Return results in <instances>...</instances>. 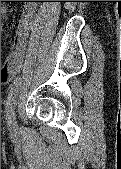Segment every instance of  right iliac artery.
Wrapping results in <instances>:
<instances>
[{
    "mask_svg": "<svg viewBox=\"0 0 121 169\" xmlns=\"http://www.w3.org/2000/svg\"><path fill=\"white\" fill-rule=\"evenodd\" d=\"M22 80L20 77H17L13 84L11 85L10 91H9V95H8V100L6 103V115L7 118H9L12 114H14V107L16 104V97L18 94V91L20 89Z\"/></svg>",
    "mask_w": 121,
    "mask_h": 169,
    "instance_id": "right-iliac-artery-1",
    "label": "right iliac artery"
}]
</instances>
